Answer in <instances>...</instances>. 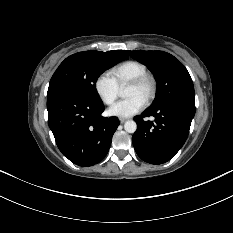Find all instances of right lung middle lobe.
I'll use <instances>...</instances> for the list:
<instances>
[{"instance_id":"1","label":"right lung middle lobe","mask_w":233,"mask_h":233,"mask_svg":"<svg viewBox=\"0 0 233 233\" xmlns=\"http://www.w3.org/2000/svg\"><path fill=\"white\" fill-rule=\"evenodd\" d=\"M127 52L84 51L66 58L53 74L47 97L68 95L101 104L95 83L97 78L118 62L127 59Z\"/></svg>"}]
</instances>
